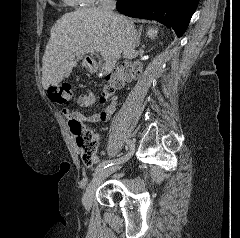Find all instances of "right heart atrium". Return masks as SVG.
Wrapping results in <instances>:
<instances>
[{
	"label": "right heart atrium",
	"instance_id": "d8ad5b80",
	"mask_svg": "<svg viewBox=\"0 0 240 238\" xmlns=\"http://www.w3.org/2000/svg\"><path fill=\"white\" fill-rule=\"evenodd\" d=\"M85 5H93L101 0H82Z\"/></svg>",
	"mask_w": 240,
	"mask_h": 238
}]
</instances>
